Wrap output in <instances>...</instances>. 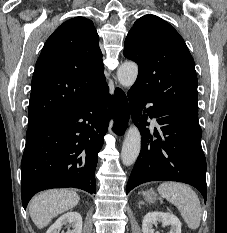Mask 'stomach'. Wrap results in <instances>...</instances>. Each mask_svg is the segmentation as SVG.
I'll return each mask as SVG.
<instances>
[{"label": "stomach", "instance_id": "stomach-1", "mask_svg": "<svg viewBox=\"0 0 227 233\" xmlns=\"http://www.w3.org/2000/svg\"><path fill=\"white\" fill-rule=\"evenodd\" d=\"M143 196L148 203H154L158 199L156 193L152 190L143 192Z\"/></svg>", "mask_w": 227, "mask_h": 233}]
</instances>
